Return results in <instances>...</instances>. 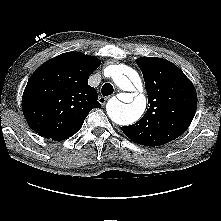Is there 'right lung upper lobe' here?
Here are the masks:
<instances>
[{
  "instance_id": "obj_1",
  "label": "right lung upper lobe",
  "mask_w": 221,
  "mask_h": 221,
  "mask_svg": "<svg viewBox=\"0 0 221 221\" xmlns=\"http://www.w3.org/2000/svg\"><path fill=\"white\" fill-rule=\"evenodd\" d=\"M101 61L67 52L41 65L29 79L22 97L28 125L40 136L60 141L76 133L91 109L100 108L89 76Z\"/></svg>"
}]
</instances>
